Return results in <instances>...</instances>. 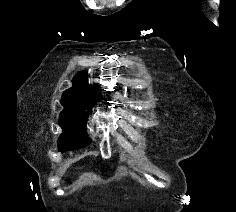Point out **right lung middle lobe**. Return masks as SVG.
Listing matches in <instances>:
<instances>
[{"instance_id": "dd1d6c3e", "label": "right lung middle lobe", "mask_w": 236, "mask_h": 212, "mask_svg": "<svg viewBox=\"0 0 236 212\" xmlns=\"http://www.w3.org/2000/svg\"><path fill=\"white\" fill-rule=\"evenodd\" d=\"M87 116L85 110L64 109L60 113L58 123L63 133L58 138V148L61 152L80 149L90 143L85 131Z\"/></svg>"}]
</instances>
